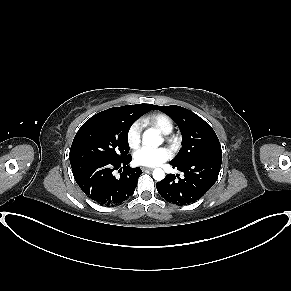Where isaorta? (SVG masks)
<instances>
[{"instance_id": "762f6f07", "label": "aorta", "mask_w": 291, "mask_h": 291, "mask_svg": "<svg viewBox=\"0 0 291 291\" xmlns=\"http://www.w3.org/2000/svg\"><path fill=\"white\" fill-rule=\"evenodd\" d=\"M143 142L148 146H160L163 143V138L155 129H148L143 134ZM153 178L157 181H161L165 177V173L161 168H156L153 171Z\"/></svg>"}]
</instances>
